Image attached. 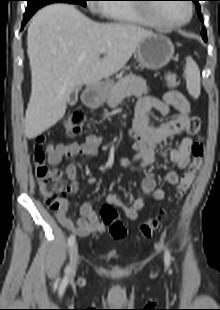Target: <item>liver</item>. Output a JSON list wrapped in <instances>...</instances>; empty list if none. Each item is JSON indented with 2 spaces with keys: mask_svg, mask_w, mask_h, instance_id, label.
I'll return each mask as SVG.
<instances>
[{
  "mask_svg": "<svg viewBox=\"0 0 220 310\" xmlns=\"http://www.w3.org/2000/svg\"><path fill=\"white\" fill-rule=\"evenodd\" d=\"M152 31L125 23H96L69 4H52L33 17L27 32L31 96L25 135L32 139L63 118L71 92L114 75ZM106 53L100 58V49Z\"/></svg>",
  "mask_w": 220,
  "mask_h": 310,
  "instance_id": "1",
  "label": "liver"
}]
</instances>
